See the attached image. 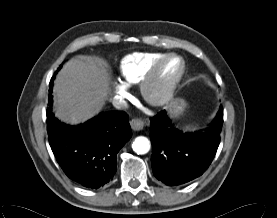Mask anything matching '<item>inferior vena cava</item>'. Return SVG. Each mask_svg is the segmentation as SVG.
<instances>
[{"instance_id":"1","label":"inferior vena cava","mask_w":277,"mask_h":218,"mask_svg":"<svg viewBox=\"0 0 277 218\" xmlns=\"http://www.w3.org/2000/svg\"><path fill=\"white\" fill-rule=\"evenodd\" d=\"M112 104L118 110H124L128 107L127 102L123 99H113Z\"/></svg>"}]
</instances>
